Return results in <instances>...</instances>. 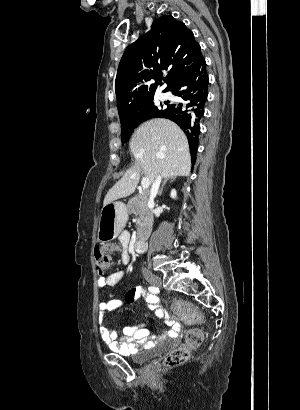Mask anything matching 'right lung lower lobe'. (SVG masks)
<instances>
[{"instance_id":"1","label":"right lung lower lobe","mask_w":300,"mask_h":410,"mask_svg":"<svg viewBox=\"0 0 300 410\" xmlns=\"http://www.w3.org/2000/svg\"><path fill=\"white\" fill-rule=\"evenodd\" d=\"M208 85L206 62L202 57L176 80L171 89L175 96L185 102L168 104L165 110H161L155 116L174 121L185 132L189 141L192 163L196 159L200 121L207 101ZM193 152L194 156H192Z\"/></svg>"}]
</instances>
